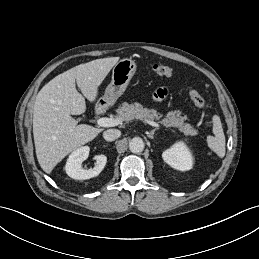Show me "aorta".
<instances>
[{"label":"aorta","instance_id":"aorta-1","mask_svg":"<svg viewBox=\"0 0 259 259\" xmlns=\"http://www.w3.org/2000/svg\"><path fill=\"white\" fill-rule=\"evenodd\" d=\"M145 144L144 141L140 137H134L130 142H129V150L132 153H140L144 150Z\"/></svg>","mask_w":259,"mask_h":259}]
</instances>
